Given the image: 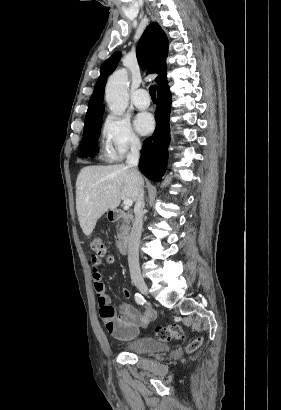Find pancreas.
Returning a JSON list of instances; mask_svg holds the SVG:
<instances>
[{
    "label": "pancreas",
    "instance_id": "cf45deb5",
    "mask_svg": "<svg viewBox=\"0 0 281 410\" xmlns=\"http://www.w3.org/2000/svg\"><path fill=\"white\" fill-rule=\"evenodd\" d=\"M120 227L118 229V234H117V244H121L123 240L127 238V235L130 231V222H131V215L126 214L124 212L120 213Z\"/></svg>",
    "mask_w": 281,
    "mask_h": 410
}]
</instances>
